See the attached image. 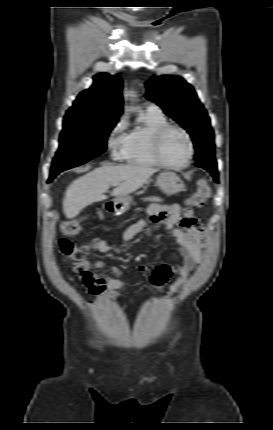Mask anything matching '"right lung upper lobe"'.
<instances>
[{"label":"right lung upper lobe","instance_id":"1","mask_svg":"<svg viewBox=\"0 0 273 430\" xmlns=\"http://www.w3.org/2000/svg\"><path fill=\"white\" fill-rule=\"evenodd\" d=\"M121 90L119 75L97 74L93 85L79 94L66 114L118 120L123 105Z\"/></svg>","mask_w":273,"mask_h":430}]
</instances>
